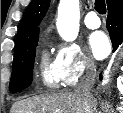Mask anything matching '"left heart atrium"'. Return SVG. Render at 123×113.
<instances>
[{"mask_svg":"<svg viewBox=\"0 0 123 113\" xmlns=\"http://www.w3.org/2000/svg\"><path fill=\"white\" fill-rule=\"evenodd\" d=\"M89 47L97 59L105 58L110 52V43L103 32H95L89 37Z\"/></svg>","mask_w":123,"mask_h":113,"instance_id":"left-heart-atrium-1","label":"left heart atrium"}]
</instances>
